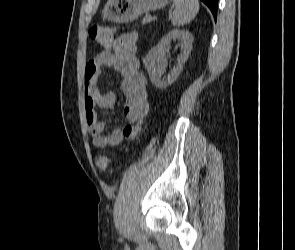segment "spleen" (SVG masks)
<instances>
[{
    "mask_svg": "<svg viewBox=\"0 0 295 250\" xmlns=\"http://www.w3.org/2000/svg\"><path fill=\"white\" fill-rule=\"evenodd\" d=\"M175 10L171 19L173 26L189 23L199 11L198 0H173Z\"/></svg>",
    "mask_w": 295,
    "mask_h": 250,
    "instance_id": "1",
    "label": "spleen"
}]
</instances>
